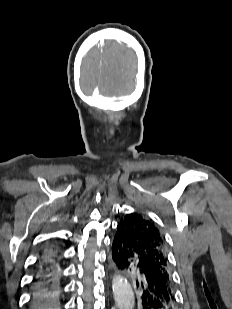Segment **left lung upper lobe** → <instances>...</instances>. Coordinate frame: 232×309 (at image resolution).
Listing matches in <instances>:
<instances>
[{"label": "left lung upper lobe", "mask_w": 232, "mask_h": 309, "mask_svg": "<svg viewBox=\"0 0 232 309\" xmlns=\"http://www.w3.org/2000/svg\"><path fill=\"white\" fill-rule=\"evenodd\" d=\"M119 224L125 229L136 255L161 269L168 275L172 285L165 239L154 222L139 213H131L122 218Z\"/></svg>", "instance_id": "1"}]
</instances>
